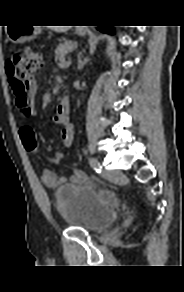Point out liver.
I'll return each mask as SVG.
<instances>
[{"label": "liver", "mask_w": 184, "mask_h": 292, "mask_svg": "<svg viewBox=\"0 0 184 292\" xmlns=\"http://www.w3.org/2000/svg\"><path fill=\"white\" fill-rule=\"evenodd\" d=\"M68 26H53L51 29L56 32H65L68 30Z\"/></svg>", "instance_id": "liver-1"}]
</instances>
